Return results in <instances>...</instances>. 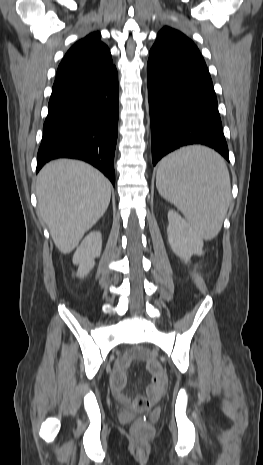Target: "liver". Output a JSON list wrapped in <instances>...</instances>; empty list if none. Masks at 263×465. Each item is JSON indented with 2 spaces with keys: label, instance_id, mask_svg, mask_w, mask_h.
I'll list each match as a JSON object with an SVG mask.
<instances>
[{
  "label": "liver",
  "instance_id": "liver-1",
  "mask_svg": "<svg viewBox=\"0 0 263 465\" xmlns=\"http://www.w3.org/2000/svg\"><path fill=\"white\" fill-rule=\"evenodd\" d=\"M36 195L39 214L56 247L68 254L106 212L111 183L87 163L59 159L39 172Z\"/></svg>",
  "mask_w": 263,
  "mask_h": 465
}]
</instances>
